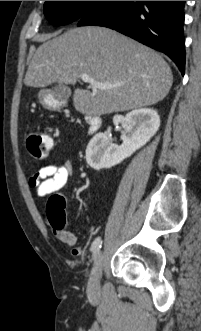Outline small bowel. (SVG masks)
<instances>
[{
  "label": "small bowel",
  "mask_w": 201,
  "mask_h": 331,
  "mask_svg": "<svg viewBox=\"0 0 201 331\" xmlns=\"http://www.w3.org/2000/svg\"><path fill=\"white\" fill-rule=\"evenodd\" d=\"M72 173V165L67 161L64 165L48 164L37 170L29 179V185L35 188L39 197L56 195L64 189ZM54 228V234L58 240L72 248L73 255H80L82 249L77 244L75 233L56 226L50 221Z\"/></svg>",
  "instance_id": "c3829d8e"
}]
</instances>
